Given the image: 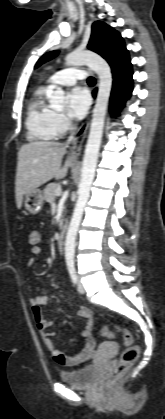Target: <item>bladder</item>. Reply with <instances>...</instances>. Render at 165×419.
<instances>
[{
    "label": "bladder",
    "mask_w": 165,
    "mask_h": 419,
    "mask_svg": "<svg viewBox=\"0 0 165 419\" xmlns=\"http://www.w3.org/2000/svg\"><path fill=\"white\" fill-rule=\"evenodd\" d=\"M61 379L70 387L78 389L92 388L98 381V371L95 365L63 371Z\"/></svg>",
    "instance_id": "bladder-1"
}]
</instances>
